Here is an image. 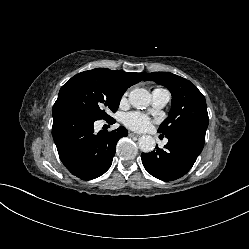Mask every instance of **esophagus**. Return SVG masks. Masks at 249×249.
I'll list each match as a JSON object with an SVG mask.
<instances>
[{
  "instance_id": "34e87169",
  "label": "esophagus",
  "mask_w": 249,
  "mask_h": 249,
  "mask_svg": "<svg viewBox=\"0 0 249 249\" xmlns=\"http://www.w3.org/2000/svg\"><path fill=\"white\" fill-rule=\"evenodd\" d=\"M129 136H130V137H133V136H135V137H139V136H140V134H138V133H134V132H129Z\"/></svg>"
}]
</instances>
